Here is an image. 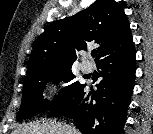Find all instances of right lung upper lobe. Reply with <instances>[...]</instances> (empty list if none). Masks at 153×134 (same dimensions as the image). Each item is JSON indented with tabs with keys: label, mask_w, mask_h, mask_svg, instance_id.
<instances>
[{
	"label": "right lung upper lobe",
	"mask_w": 153,
	"mask_h": 134,
	"mask_svg": "<svg viewBox=\"0 0 153 134\" xmlns=\"http://www.w3.org/2000/svg\"><path fill=\"white\" fill-rule=\"evenodd\" d=\"M132 41L127 16L114 0H97L72 17L51 23L36 40L28 61L27 77L71 66L76 50L98 44L96 62Z\"/></svg>",
	"instance_id": "obj_1"
}]
</instances>
